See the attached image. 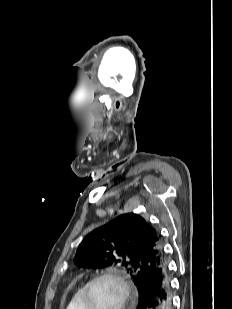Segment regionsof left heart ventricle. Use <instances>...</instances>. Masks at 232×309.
Returning <instances> with one entry per match:
<instances>
[{"mask_svg": "<svg viewBox=\"0 0 232 309\" xmlns=\"http://www.w3.org/2000/svg\"><path fill=\"white\" fill-rule=\"evenodd\" d=\"M122 292L119 285L110 279L97 281L90 291L92 309H117L121 303Z\"/></svg>", "mask_w": 232, "mask_h": 309, "instance_id": "1", "label": "left heart ventricle"}]
</instances>
